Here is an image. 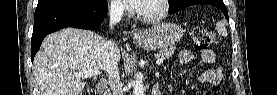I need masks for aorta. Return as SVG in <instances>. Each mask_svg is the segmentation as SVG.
<instances>
[{
  "instance_id": "1",
  "label": "aorta",
  "mask_w": 277,
  "mask_h": 95,
  "mask_svg": "<svg viewBox=\"0 0 277 95\" xmlns=\"http://www.w3.org/2000/svg\"><path fill=\"white\" fill-rule=\"evenodd\" d=\"M143 77L140 73L136 74L133 81V95H145Z\"/></svg>"
}]
</instances>
